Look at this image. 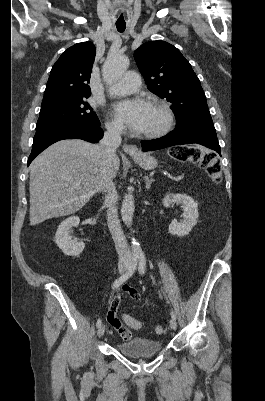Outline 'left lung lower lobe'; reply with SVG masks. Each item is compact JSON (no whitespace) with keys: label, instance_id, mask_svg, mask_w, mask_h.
Instances as JSON below:
<instances>
[{"label":"left lung lower lobe","instance_id":"0a47b994","mask_svg":"<svg viewBox=\"0 0 265 401\" xmlns=\"http://www.w3.org/2000/svg\"><path fill=\"white\" fill-rule=\"evenodd\" d=\"M197 143L215 150L220 154L216 130L211 116H197L176 124L175 129L166 136L141 141L143 151H154L174 145Z\"/></svg>","mask_w":265,"mask_h":401}]
</instances>
